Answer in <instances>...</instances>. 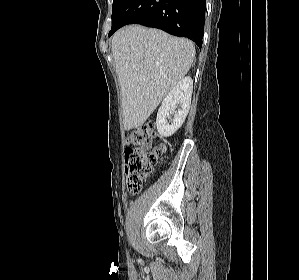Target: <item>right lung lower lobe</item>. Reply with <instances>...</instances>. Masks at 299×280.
<instances>
[{
  "instance_id": "98d812e1",
  "label": "right lung lower lobe",
  "mask_w": 299,
  "mask_h": 280,
  "mask_svg": "<svg viewBox=\"0 0 299 280\" xmlns=\"http://www.w3.org/2000/svg\"><path fill=\"white\" fill-rule=\"evenodd\" d=\"M205 8L206 0H125L109 36L126 24L137 23L187 37L202 47Z\"/></svg>"
}]
</instances>
